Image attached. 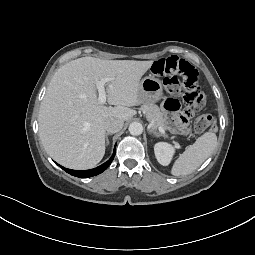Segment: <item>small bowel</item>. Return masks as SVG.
<instances>
[{"mask_svg": "<svg viewBox=\"0 0 255 255\" xmlns=\"http://www.w3.org/2000/svg\"><path fill=\"white\" fill-rule=\"evenodd\" d=\"M163 109L167 119L176 132H186L188 128L189 117L179 113V103L174 99H167L163 103Z\"/></svg>", "mask_w": 255, "mask_h": 255, "instance_id": "c3829d8e", "label": "small bowel"}]
</instances>
